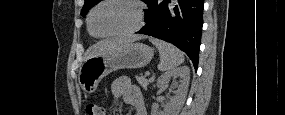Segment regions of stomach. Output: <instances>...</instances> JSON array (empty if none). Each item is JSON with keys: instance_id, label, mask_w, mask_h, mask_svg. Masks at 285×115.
Returning a JSON list of instances; mask_svg holds the SVG:
<instances>
[{"instance_id": "stomach-1", "label": "stomach", "mask_w": 285, "mask_h": 115, "mask_svg": "<svg viewBox=\"0 0 285 115\" xmlns=\"http://www.w3.org/2000/svg\"><path fill=\"white\" fill-rule=\"evenodd\" d=\"M153 56L151 47L132 42L115 53L90 57L80 68L79 84L84 92L91 94L96 91L99 82L111 72L124 68H142Z\"/></svg>"}]
</instances>
